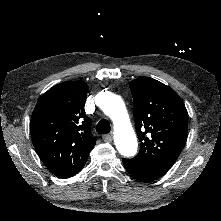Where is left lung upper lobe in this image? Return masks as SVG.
Masks as SVG:
<instances>
[{"mask_svg":"<svg viewBox=\"0 0 221 221\" xmlns=\"http://www.w3.org/2000/svg\"><path fill=\"white\" fill-rule=\"evenodd\" d=\"M140 151L130 162L158 178L180 155L188 132V113L180 96L150 77L130 82Z\"/></svg>","mask_w":221,"mask_h":221,"instance_id":"left-lung-upper-lobe-1","label":"left lung upper lobe"}]
</instances>
